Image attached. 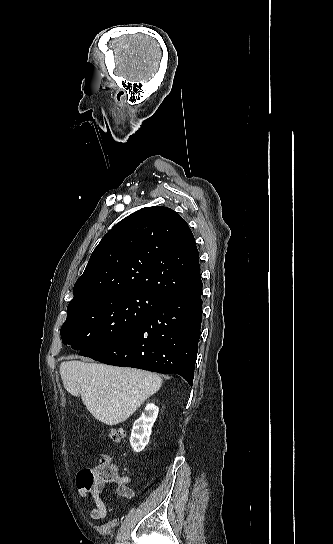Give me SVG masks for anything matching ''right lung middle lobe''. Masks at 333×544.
I'll return each instance as SVG.
<instances>
[{
	"instance_id": "1",
	"label": "right lung middle lobe",
	"mask_w": 333,
	"mask_h": 544,
	"mask_svg": "<svg viewBox=\"0 0 333 544\" xmlns=\"http://www.w3.org/2000/svg\"><path fill=\"white\" fill-rule=\"evenodd\" d=\"M164 298L145 292L103 294L69 303L62 342L84 355L134 329Z\"/></svg>"
}]
</instances>
